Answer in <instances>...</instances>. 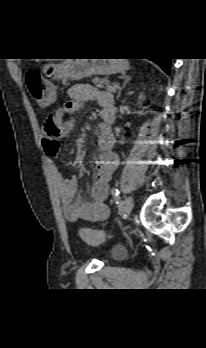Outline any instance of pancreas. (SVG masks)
I'll use <instances>...</instances> for the list:
<instances>
[{"instance_id":"pancreas-1","label":"pancreas","mask_w":206,"mask_h":348,"mask_svg":"<svg viewBox=\"0 0 206 348\" xmlns=\"http://www.w3.org/2000/svg\"><path fill=\"white\" fill-rule=\"evenodd\" d=\"M91 81L97 88L105 89L111 93L116 92L117 88L112 86L107 78L94 77Z\"/></svg>"}]
</instances>
